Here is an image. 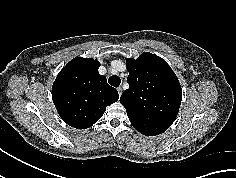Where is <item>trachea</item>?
<instances>
[{
  "label": "trachea",
  "instance_id": "trachea-1",
  "mask_svg": "<svg viewBox=\"0 0 236 178\" xmlns=\"http://www.w3.org/2000/svg\"><path fill=\"white\" fill-rule=\"evenodd\" d=\"M108 83L113 87H118L121 84V79L118 76H111Z\"/></svg>",
  "mask_w": 236,
  "mask_h": 178
}]
</instances>
